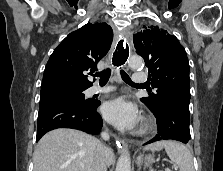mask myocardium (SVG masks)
<instances>
[{"mask_svg": "<svg viewBox=\"0 0 223 171\" xmlns=\"http://www.w3.org/2000/svg\"><path fill=\"white\" fill-rule=\"evenodd\" d=\"M152 128V122L148 119H144L139 127V134H146Z\"/></svg>", "mask_w": 223, "mask_h": 171, "instance_id": "f54148a6", "label": "myocardium"}]
</instances>
